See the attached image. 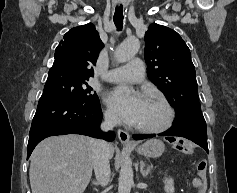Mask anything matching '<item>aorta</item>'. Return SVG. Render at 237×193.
Segmentation results:
<instances>
[{"mask_svg": "<svg viewBox=\"0 0 237 193\" xmlns=\"http://www.w3.org/2000/svg\"><path fill=\"white\" fill-rule=\"evenodd\" d=\"M140 42L135 37L127 38L115 50V58L118 62L129 61L138 52ZM118 193H130L133 184L132 164L125 160L120 169Z\"/></svg>", "mask_w": 237, "mask_h": 193, "instance_id": "762f6f07", "label": "aorta"}]
</instances>
